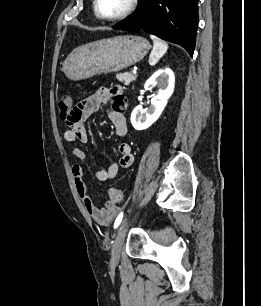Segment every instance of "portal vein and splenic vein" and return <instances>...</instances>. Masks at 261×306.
Masks as SVG:
<instances>
[{"label":"portal vein and splenic vein","instance_id":"1","mask_svg":"<svg viewBox=\"0 0 261 306\" xmlns=\"http://www.w3.org/2000/svg\"><path fill=\"white\" fill-rule=\"evenodd\" d=\"M132 73H133V74H136V73H137V71H136V70H133V71H132Z\"/></svg>","mask_w":261,"mask_h":306}]
</instances>
